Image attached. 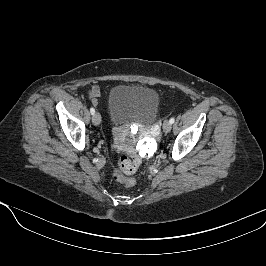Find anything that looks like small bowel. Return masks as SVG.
I'll list each match as a JSON object with an SVG mask.
<instances>
[{
  "mask_svg": "<svg viewBox=\"0 0 266 266\" xmlns=\"http://www.w3.org/2000/svg\"><path fill=\"white\" fill-rule=\"evenodd\" d=\"M100 96V89L98 86H93L90 90V97L93 103H97V99Z\"/></svg>",
  "mask_w": 266,
  "mask_h": 266,
  "instance_id": "1",
  "label": "small bowel"
}]
</instances>
